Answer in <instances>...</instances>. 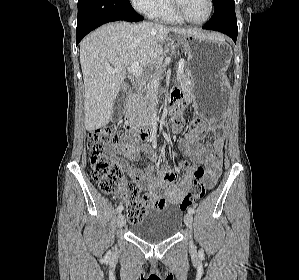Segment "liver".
Returning <instances> with one entry per match:
<instances>
[{"label":"liver","mask_w":299,"mask_h":280,"mask_svg":"<svg viewBox=\"0 0 299 280\" xmlns=\"http://www.w3.org/2000/svg\"><path fill=\"white\" fill-rule=\"evenodd\" d=\"M169 32L181 36L202 33L191 28L120 21L103 25L82 40L80 63L85 89V128L88 131L110 122L117 95L121 90H127L124 81L127 68L135 62L142 68L157 63ZM108 68L120 72L112 74Z\"/></svg>","instance_id":"6515ba94"}]
</instances>
